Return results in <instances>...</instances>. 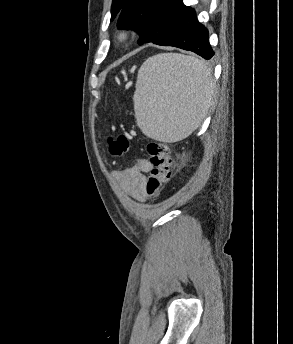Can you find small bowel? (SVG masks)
<instances>
[{"label":"small bowel","instance_id":"1","mask_svg":"<svg viewBox=\"0 0 293 344\" xmlns=\"http://www.w3.org/2000/svg\"><path fill=\"white\" fill-rule=\"evenodd\" d=\"M151 169L152 165L147 159H139L132 166L123 169L118 176L124 192L137 201H145L146 173Z\"/></svg>","mask_w":293,"mask_h":344}]
</instances>
